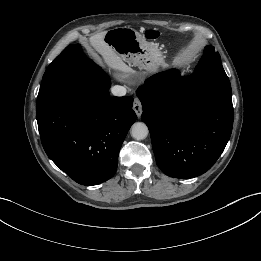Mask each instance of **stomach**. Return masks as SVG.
Listing matches in <instances>:
<instances>
[{"instance_id":"0dacf381","label":"stomach","mask_w":261,"mask_h":261,"mask_svg":"<svg viewBox=\"0 0 261 261\" xmlns=\"http://www.w3.org/2000/svg\"><path fill=\"white\" fill-rule=\"evenodd\" d=\"M104 41L125 62L131 63L148 71H154L164 64V59L158 46L146 41L135 29L118 27L106 32Z\"/></svg>"}]
</instances>
